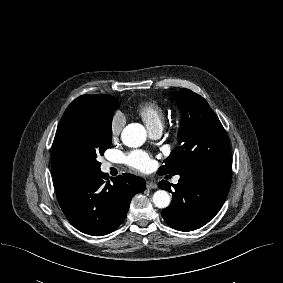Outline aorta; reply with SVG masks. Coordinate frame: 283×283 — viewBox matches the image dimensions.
Wrapping results in <instances>:
<instances>
[{"label": "aorta", "instance_id": "762f6f07", "mask_svg": "<svg viewBox=\"0 0 283 283\" xmlns=\"http://www.w3.org/2000/svg\"><path fill=\"white\" fill-rule=\"evenodd\" d=\"M146 130L138 123L126 126L121 134L123 143L128 147H140L146 140ZM152 201L158 208H166L171 202V197L165 190H158L153 194Z\"/></svg>", "mask_w": 283, "mask_h": 283}]
</instances>
